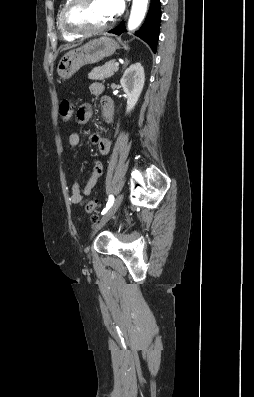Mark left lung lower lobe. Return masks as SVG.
Instances as JSON below:
<instances>
[{"mask_svg":"<svg viewBox=\"0 0 254 397\" xmlns=\"http://www.w3.org/2000/svg\"><path fill=\"white\" fill-rule=\"evenodd\" d=\"M161 21L160 0H151L150 8L141 28L136 32V36L143 39L156 52L159 37V26ZM126 32L124 23H120L116 28L109 31L117 35Z\"/></svg>","mask_w":254,"mask_h":397,"instance_id":"1","label":"left lung lower lobe"}]
</instances>
